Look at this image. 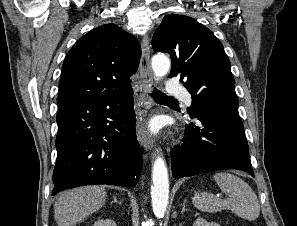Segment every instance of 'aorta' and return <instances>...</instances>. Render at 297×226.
Wrapping results in <instances>:
<instances>
[{"label":"aorta","mask_w":297,"mask_h":226,"mask_svg":"<svg viewBox=\"0 0 297 226\" xmlns=\"http://www.w3.org/2000/svg\"><path fill=\"white\" fill-rule=\"evenodd\" d=\"M152 69L156 79L162 78L170 69V60L164 54L152 58ZM151 201L154 214L162 218L166 212L169 198V178L165 160L157 156L152 165Z\"/></svg>","instance_id":"obj_1"}]
</instances>
